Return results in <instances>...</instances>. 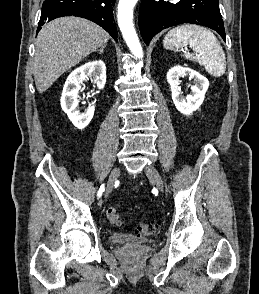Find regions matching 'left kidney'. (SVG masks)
Here are the masks:
<instances>
[{
	"label": "left kidney",
	"instance_id": "5707ae66",
	"mask_svg": "<svg viewBox=\"0 0 259 294\" xmlns=\"http://www.w3.org/2000/svg\"><path fill=\"white\" fill-rule=\"evenodd\" d=\"M189 76L194 80L191 93L184 97L180 88V77ZM167 82L170 85L172 99L175 107L184 115H191L198 110L204 101L205 93L209 87V81L193 69L174 66L167 72Z\"/></svg>",
	"mask_w": 259,
	"mask_h": 294
}]
</instances>
